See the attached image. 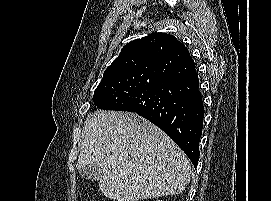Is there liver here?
<instances>
[{"instance_id":"1","label":"liver","mask_w":271,"mask_h":201,"mask_svg":"<svg viewBox=\"0 0 271 201\" xmlns=\"http://www.w3.org/2000/svg\"><path fill=\"white\" fill-rule=\"evenodd\" d=\"M98 165L99 189L116 201H139L184 191L191 164L160 128L135 113L96 111L83 128L77 169Z\"/></svg>"}]
</instances>
